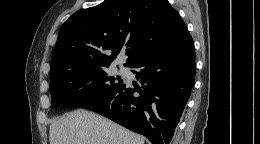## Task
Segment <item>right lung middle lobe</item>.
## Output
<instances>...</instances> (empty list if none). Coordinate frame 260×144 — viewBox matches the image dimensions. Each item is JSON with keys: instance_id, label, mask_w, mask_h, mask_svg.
<instances>
[{"instance_id": "dd1d6c3e", "label": "right lung middle lobe", "mask_w": 260, "mask_h": 144, "mask_svg": "<svg viewBox=\"0 0 260 144\" xmlns=\"http://www.w3.org/2000/svg\"><path fill=\"white\" fill-rule=\"evenodd\" d=\"M107 66L65 71L50 77L51 104L55 108H79L104 98L124 82L107 77Z\"/></svg>"}]
</instances>
